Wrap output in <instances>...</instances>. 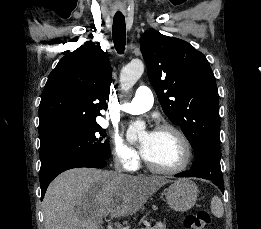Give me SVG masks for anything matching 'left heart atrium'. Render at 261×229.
<instances>
[{"label":"left heart atrium","mask_w":261,"mask_h":229,"mask_svg":"<svg viewBox=\"0 0 261 229\" xmlns=\"http://www.w3.org/2000/svg\"><path fill=\"white\" fill-rule=\"evenodd\" d=\"M153 132H150V133H148L147 135H148V137L152 134ZM147 143H148V139H146V140H144V141H142L141 143H140V149H141V152L144 154L145 153V151H146V149H147Z\"/></svg>","instance_id":"left-heart-atrium-1"}]
</instances>
